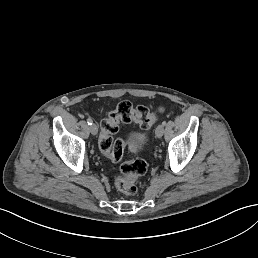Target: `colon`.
<instances>
[{
	"mask_svg": "<svg viewBox=\"0 0 258 258\" xmlns=\"http://www.w3.org/2000/svg\"><path fill=\"white\" fill-rule=\"evenodd\" d=\"M164 108L158 107L152 111L146 106L134 107L128 101L120 102L109 115L101 121L99 148L112 161H120L125 144L115 139L114 135L119 130L120 123H136L141 129H149L163 114ZM130 150L135 151L137 147L132 143ZM147 171V164L144 160L135 158L121 164L119 172L115 177L116 188L126 195H134L138 191L137 180Z\"/></svg>",
	"mask_w": 258,
	"mask_h": 258,
	"instance_id": "5ec220e1",
	"label": "colon"
}]
</instances>
